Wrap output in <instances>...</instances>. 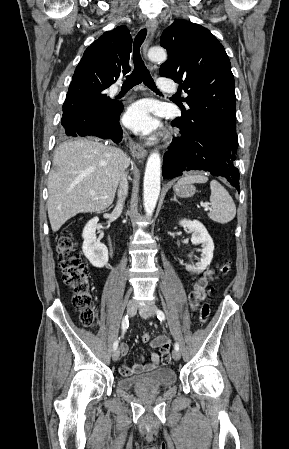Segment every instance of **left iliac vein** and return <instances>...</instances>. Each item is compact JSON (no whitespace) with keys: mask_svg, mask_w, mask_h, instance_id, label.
Segmentation results:
<instances>
[{"mask_svg":"<svg viewBox=\"0 0 289 449\" xmlns=\"http://www.w3.org/2000/svg\"><path fill=\"white\" fill-rule=\"evenodd\" d=\"M139 313H140L141 317H143L144 319H147L156 314V307L154 305H149L145 308H140ZM172 357L174 360L178 361L181 358V353L178 350H173Z\"/></svg>","mask_w":289,"mask_h":449,"instance_id":"1","label":"left iliac vein"}]
</instances>
